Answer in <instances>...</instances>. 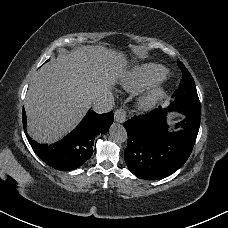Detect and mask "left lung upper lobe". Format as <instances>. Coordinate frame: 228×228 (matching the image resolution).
<instances>
[{
	"mask_svg": "<svg viewBox=\"0 0 228 228\" xmlns=\"http://www.w3.org/2000/svg\"><path fill=\"white\" fill-rule=\"evenodd\" d=\"M177 63L182 71V81L180 87L174 93L176 99L172 102L170 108L172 111L190 112L201 115V106L194 80L183 63L180 61H177Z\"/></svg>",
	"mask_w": 228,
	"mask_h": 228,
	"instance_id": "5c2ea615",
	"label": "left lung upper lobe"
}]
</instances>
